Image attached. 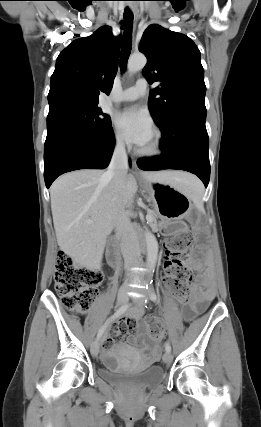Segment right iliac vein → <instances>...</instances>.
<instances>
[{
  "mask_svg": "<svg viewBox=\"0 0 261 427\" xmlns=\"http://www.w3.org/2000/svg\"><path fill=\"white\" fill-rule=\"evenodd\" d=\"M128 301V295L125 291H120L117 296V304L124 305ZM91 354L96 357L99 353V341L98 339L94 340L90 348Z\"/></svg>",
  "mask_w": 261,
  "mask_h": 427,
  "instance_id": "right-iliac-vein-1",
  "label": "right iliac vein"
}]
</instances>
